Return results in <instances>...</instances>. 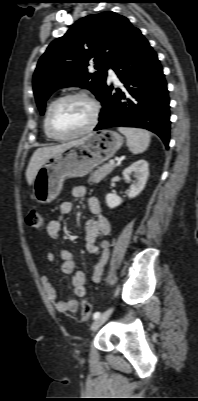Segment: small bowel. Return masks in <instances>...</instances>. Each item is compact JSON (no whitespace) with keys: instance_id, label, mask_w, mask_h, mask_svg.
<instances>
[{"instance_id":"small-bowel-1","label":"small bowel","mask_w":198,"mask_h":401,"mask_svg":"<svg viewBox=\"0 0 198 401\" xmlns=\"http://www.w3.org/2000/svg\"><path fill=\"white\" fill-rule=\"evenodd\" d=\"M73 196L82 198L86 195V189L83 186L73 188ZM88 207L92 214L85 225L86 230V250L93 257L97 258V263L94 266L92 280L95 283L100 282L104 267L108 261L110 254V243L106 239H102L100 244L97 243L99 237L107 236L110 233V222L102 214L101 204L96 197H90L88 200ZM72 203L63 202L59 207V215L52 219L47 227L46 232L48 237L57 242L61 230L63 220L71 213ZM59 256L62 259L61 270L65 274L73 273L72 285L76 297H83L87 293L85 286L86 275L83 271L75 272V262L72 253L66 248L59 249ZM48 260L52 261L55 258V253L51 252L47 255ZM40 281L43 288L54 305L56 311L59 313H74L77 310V300L75 298L58 299L57 291L53 286L52 279L49 275H42Z\"/></svg>"}]
</instances>
